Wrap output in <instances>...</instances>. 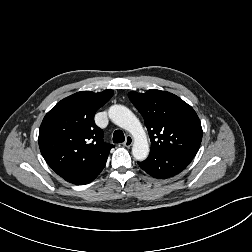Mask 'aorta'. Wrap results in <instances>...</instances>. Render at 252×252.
<instances>
[{
	"instance_id": "aorta-1",
	"label": "aorta",
	"mask_w": 252,
	"mask_h": 252,
	"mask_svg": "<svg viewBox=\"0 0 252 252\" xmlns=\"http://www.w3.org/2000/svg\"><path fill=\"white\" fill-rule=\"evenodd\" d=\"M109 118L117 126L127 130L134 137L132 155L138 161H143L149 154V144L146 133L138 118L123 105H113L108 111Z\"/></svg>"
}]
</instances>
